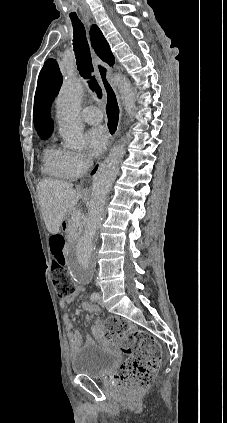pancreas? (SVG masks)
Returning a JSON list of instances; mask_svg holds the SVG:
<instances>
[{
  "instance_id": "pancreas-1",
  "label": "pancreas",
  "mask_w": 227,
  "mask_h": 423,
  "mask_svg": "<svg viewBox=\"0 0 227 423\" xmlns=\"http://www.w3.org/2000/svg\"><path fill=\"white\" fill-rule=\"evenodd\" d=\"M81 223L80 221H73L72 217H69L66 231L68 233V239H73L76 241L81 233Z\"/></svg>"
}]
</instances>
